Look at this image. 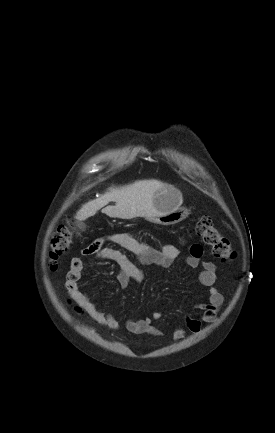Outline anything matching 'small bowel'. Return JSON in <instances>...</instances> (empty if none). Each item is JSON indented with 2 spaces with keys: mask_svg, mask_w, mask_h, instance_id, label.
I'll return each mask as SVG.
<instances>
[{
  "mask_svg": "<svg viewBox=\"0 0 275 433\" xmlns=\"http://www.w3.org/2000/svg\"><path fill=\"white\" fill-rule=\"evenodd\" d=\"M108 239L112 244L134 253L137 256L138 263L143 265L168 267L179 255V249L175 245L168 244L156 249L129 232L114 233ZM102 245V240H96L83 249L82 255L95 256L98 259L118 264L121 268L118 275V282L121 287H127L132 280L137 282L145 280V272L124 253L114 248L103 247ZM202 254V246L200 244H193L190 248V255L186 259L189 267H201L198 280L202 286L208 288L207 302L198 306L200 315L198 317H187L185 320L186 328L193 334L200 332L203 323H211L216 319L224 301L223 295L214 286L217 278L216 267L212 262L202 261ZM82 269V258L78 256L72 258L65 282L67 291L73 300L82 306L95 321L111 330H118L120 327L119 321L112 314L99 309L90 296L81 290L79 281ZM162 316L161 312L156 311L152 313L151 317L127 320L125 326L129 332L134 334L150 333L158 335L157 329L153 325V320H159ZM172 336L174 340H181L185 337V331L181 328H176L173 330Z\"/></svg>",
  "mask_w": 275,
  "mask_h": 433,
  "instance_id": "small-bowel-1",
  "label": "small bowel"
}]
</instances>
